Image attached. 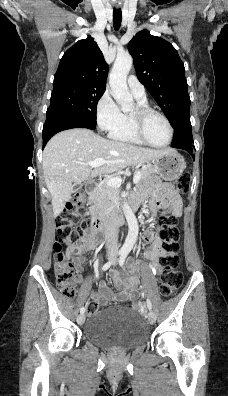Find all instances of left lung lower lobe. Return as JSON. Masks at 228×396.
Returning <instances> with one entry per match:
<instances>
[{
    "mask_svg": "<svg viewBox=\"0 0 228 396\" xmlns=\"http://www.w3.org/2000/svg\"><path fill=\"white\" fill-rule=\"evenodd\" d=\"M171 146L186 150L192 155L193 159L195 158L189 113H183L181 123L174 127V137Z\"/></svg>",
    "mask_w": 228,
    "mask_h": 396,
    "instance_id": "1",
    "label": "left lung lower lobe"
}]
</instances>
